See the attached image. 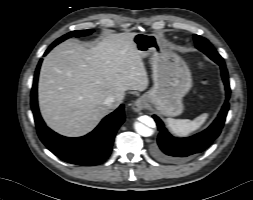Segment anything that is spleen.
Wrapping results in <instances>:
<instances>
[{"mask_svg":"<svg viewBox=\"0 0 253 200\" xmlns=\"http://www.w3.org/2000/svg\"><path fill=\"white\" fill-rule=\"evenodd\" d=\"M207 118L208 114L204 113L196 117L194 120L168 118L166 122L175 135L186 136L200 129Z\"/></svg>","mask_w":253,"mask_h":200,"instance_id":"1","label":"spleen"}]
</instances>
